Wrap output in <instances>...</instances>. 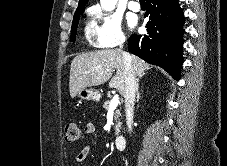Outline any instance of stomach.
<instances>
[{
	"instance_id": "1",
	"label": "stomach",
	"mask_w": 227,
	"mask_h": 166,
	"mask_svg": "<svg viewBox=\"0 0 227 166\" xmlns=\"http://www.w3.org/2000/svg\"><path fill=\"white\" fill-rule=\"evenodd\" d=\"M77 97L81 100H93L98 102L101 99V94L95 89L85 88L78 92Z\"/></svg>"
}]
</instances>
